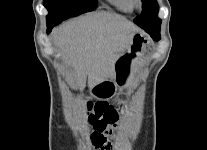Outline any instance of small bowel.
<instances>
[{"label":"small bowel","mask_w":207,"mask_h":150,"mask_svg":"<svg viewBox=\"0 0 207 150\" xmlns=\"http://www.w3.org/2000/svg\"><path fill=\"white\" fill-rule=\"evenodd\" d=\"M95 139H96V138H92V140H93V143H95Z\"/></svg>","instance_id":"small-bowel-1"}]
</instances>
